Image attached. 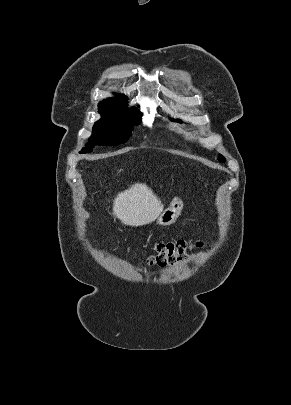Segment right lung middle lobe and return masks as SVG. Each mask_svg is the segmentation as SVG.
I'll use <instances>...</instances> for the list:
<instances>
[{
    "mask_svg": "<svg viewBox=\"0 0 291 405\" xmlns=\"http://www.w3.org/2000/svg\"><path fill=\"white\" fill-rule=\"evenodd\" d=\"M102 118L93 127V135L87 143V148H83L80 153L91 152L94 144L116 146L127 142L131 136L134 125L141 121L142 114L130 113H102Z\"/></svg>",
    "mask_w": 291,
    "mask_h": 405,
    "instance_id": "1",
    "label": "right lung middle lobe"
}]
</instances>
